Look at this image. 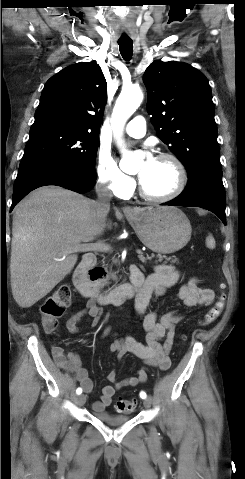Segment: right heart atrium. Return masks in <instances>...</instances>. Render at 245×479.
<instances>
[{
  "label": "right heart atrium",
  "mask_w": 245,
  "mask_h": 479,
  "mask_svg": "<svg viewBox=\"0 0 245 479\" xmlns=\"http://www.w3.org/2000/svg\"><path fill=\"white\" fill-rule=\"evenodd\" d=\"M97 180L112 195L118 197L128 196L134 186V180L125 174L109 150L101 148L96 160Z\"/></svg>",
  "instance_id": "1"
}]
</instances>
